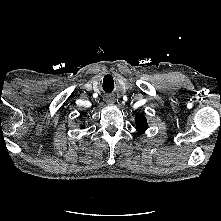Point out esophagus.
<instances>
[{
	"mask_svg": "<svg viewBox=\"0 0 221 221\" xmlns=\"http://www.w3.org/2000/svg\"><path fill=\"white\" fill-rule=\"evenodd\" d=\"M106 101H107L108 103H112V102H113V98H112V96H111L110 94H107V95H106Z\"/></svg>",
	"mask_w": 221,
	"mask_h": 221,
	"instance_id": "1",
	"label": "esophagus"
}]
</instances>
